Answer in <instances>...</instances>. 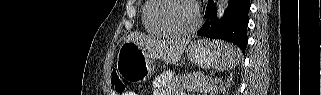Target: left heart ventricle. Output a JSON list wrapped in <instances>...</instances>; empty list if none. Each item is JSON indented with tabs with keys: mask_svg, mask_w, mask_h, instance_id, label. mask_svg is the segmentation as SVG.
<instances>
[{
	"mask_svg": "<svg viewBox=\"0 0 321 95\" xmlns=\"http://www.w3.org/2000/svg\"><path fill=\"white\" fill-rule=\"evenodd\" d=\"M157 18L164 24L180 31L189 29L195 20L192 6L181 0L170 1L157 12Z\"/></svg>",
	"mask_w": 321,
	"mask_h": 95,
	"instance_id": "b2bd125f",
	"label": "left heart ventricle"
}]
</instances>
